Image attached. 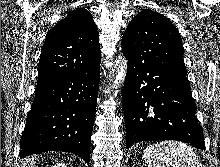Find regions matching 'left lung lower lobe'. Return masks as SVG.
I'll return each instance as SVG.
<instances>
[{"label":"left lung lower lobe","instance_id":"left-lung-lower-lobe-1","mask_svg":"<svg viewBox=\"0 0 220 167\" xmlns=\"http://www.w3.org/2000/svg\"><path fill=\"white\" fill-rule=\"evenodd\" d=\"M126 57L123 107L127 148L139 141L178 140L204 150L203 130L186 75Z\"/></svg>","mask_w":220,"mask_h":167}]
</instances>
